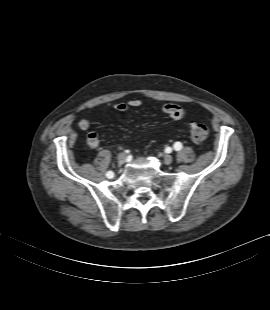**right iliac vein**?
<instances>
[{
	"label": "right iliac vein",
	"mask_w": 270,
	"mask_h": 310,
	"mask_svg": "<svg viewBox=\"0 0 270 310\" xmlns=\"http://www.w3.org/2000/svg\"><path fill=\"white\" fill-rule=\"evenodd\" d=\"M126 154L125 153H120L118 156V163L123 164L126 161Z\"/></svg>",
	"instance_id": "1"
}]
</instances>
